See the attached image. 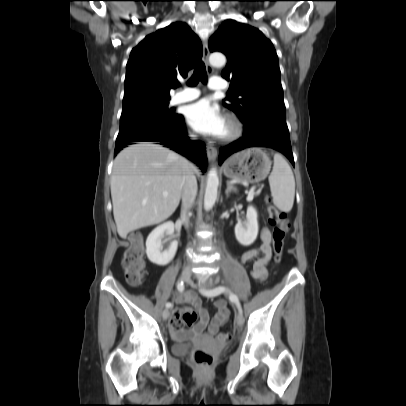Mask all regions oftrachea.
I'll use <instances>...</instances> for the list:
<instances>
[{
	"label": "trachea",
	"instance_id": "obj_1",
	"mask_svg": "<svg viewBox=\"0 0 406 406\" xmlns=\"http://www.w3.org/2000/svg\"><path fill=\"white\" fill-rule=\"evenodd\" d=\"M199 81H201L203 84L207 83V73L203 62H199L197 64L192 77L187 82V85L194 87Z\"/></svg>",
	"mask_w": 406,
	"mask_h": 406
}]
</instances>
